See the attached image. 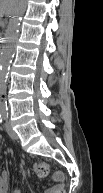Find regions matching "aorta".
<instances>
[{"mask_svg":"<svg viewBox=\"0 0 103 193\" xmlns=\"http://www.w3.org/2000/svg\"><path fill=\"white\" fill-rule=\"evenodd\" d=\"M27 9V0H19L15 17L9 22L0 55V82L2 90H5L9 67L16 49L22 17ZM2 110L5 111V103H2Z\"/></svg>","mask_w":103,"mask_h":193,"instance_id":"1","label":"aorta"}]
</instances>
